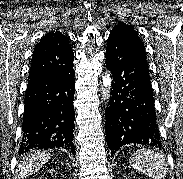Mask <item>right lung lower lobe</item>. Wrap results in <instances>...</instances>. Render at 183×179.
Masks as SVG:
<instances>
[{"label":"right lung lower lobe","mask_w":183,"mask_h":179,"mask_svg":"<svg viewBox=\"0 0 183 179\" xmlns=\"http://www.w3.org/2000/svg\"><path fill=\"white\" fill-rule=\"evenodd\" d=\"M74 72L29 79L19 154L33 149L63 147L75 153Z\"/></svg>","instance_id":"right-lung-lower-lobe-1"}]
</instances>
